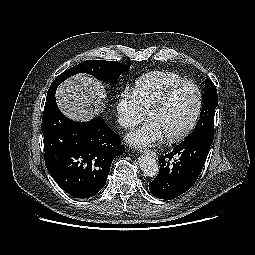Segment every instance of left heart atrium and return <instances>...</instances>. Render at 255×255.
<instances>
[{
  "label": "left heart atrium",
  "instance_id": "obj_1",
  "mask_svg": "<svg viewBox=\"0 0 255 255\" xmlns=\"http://www.w3.org/2000/svg\"><path fill=\"white\" fill-rule=\"evenodd\" d=\"M163 138L164 134L158 124L149 120L142 127L127 134L126 141L133 147L145 148L158 144Z\"/></svg>",
  "mask_w": 255,
  "mask_h": 255
}]
</instances>
